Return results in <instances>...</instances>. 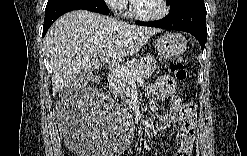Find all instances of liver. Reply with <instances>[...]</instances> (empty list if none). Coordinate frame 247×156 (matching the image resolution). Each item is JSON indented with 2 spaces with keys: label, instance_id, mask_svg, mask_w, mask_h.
<instances>
[{
  "label": "liver",
  "instance_id": "obj_1",
  "mask_svg": "<svg viewBox=\"0 0 247 156\" xmlns=\"http://www.w3.org/2000/svg\"><path fill=\"white\" fill-rule=\"evenodd\" d=\"M157 32L155 28L131 25L86 10L59 17L44 39L53 95L78 76L97 70L102 59L117 63L137 53Z\"/></svg>",
  "mask_w": 247,
  "mask_h": 156
}]
</instances>
